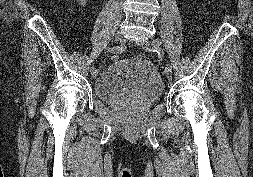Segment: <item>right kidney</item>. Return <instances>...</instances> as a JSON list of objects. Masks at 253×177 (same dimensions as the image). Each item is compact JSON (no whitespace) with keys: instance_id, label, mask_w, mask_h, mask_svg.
I'll return each instance as SVG.
<instances>
[{"instance_id":"obj_1","label":"right kidney","mask_w":253,"mask_h":177,"mask_svg":"<svg viewBox=\"0 0 253 177\" xmlns=\"http://www.w3.org/2000/svg\"><path fill=\"white\" fill-rule=\"evenodd\" d=\"M78 2H80L81 5H85L87 0H77Z\"/></svg>"}]
</instances>
